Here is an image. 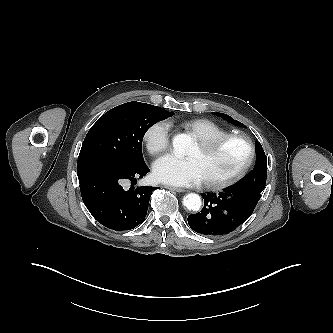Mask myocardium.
Listing matches in <instances>:
<instances>
[{
    "label": "myocardium",
    "instance_id": "obj_1",
    "mask_svg": "<svg viewBox=\"0 0 333 333\" xmlns=\"http://www.w3.org/2000/svg\"><path fill=\"white\" fill-rule=\"evenodd\" d=\"M231 141H236L243 145L245 149V159L241 166L229 176L219 180H204V184L208 188L220 190L227 188L239 181L252 166L255 157V150L250 139L240 134L227 133L215 138L197 140V145L204 152L215 150Z\"/></svg>",
    "mask_w": 333,
    "mask_h": 333
}]
</instances>
